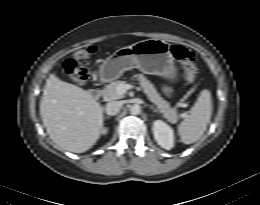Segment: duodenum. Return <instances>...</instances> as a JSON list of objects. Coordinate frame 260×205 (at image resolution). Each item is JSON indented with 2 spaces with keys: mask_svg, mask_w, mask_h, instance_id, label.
Returning <instances> with one entry per match:
<instances>
[{
  "mask_svg": "<svg viewBox=\"0 0 260 205\" xmlns=\"http://www.w3.org/2000/svg\"><path fill=\"white\" fill-rule=\"evenodd\" d=\"M89 95L90 97L93 99V100H98L101 98V91L100 90H91L89 92Z\"/></svg>",
  "mask_w": 260,
  "mask_h": 205,
  "instance_id": "duodenum-1",
  "label": "duodenum"
}]
</instances>
